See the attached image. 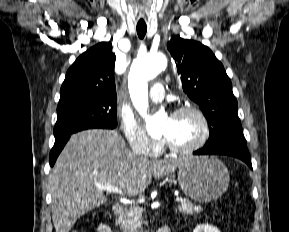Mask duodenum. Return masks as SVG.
Returning <instances> with one entry per match:
<instances>
[{
    "mask_svg": "<svg viewBox=\"0 0 289 232\" xmlns=\"http://www.w3.org/2000/svg\"><path fill=\"white\" fill-rule=\"evenodd\" d=\"M123 212H124V208L121 204H116L113 207V224H114L115 228H117L119 226ZM158 232H170V231L167 227H163V228L159 229Z\"/></svg>",
    "mask_w": 289,
    "mask_h": 232,
    "instance_id": "duodenum-1",
    "label": "duodenum"
}]
</instances>
